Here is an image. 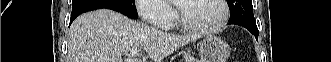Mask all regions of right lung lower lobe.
Here are the masks:
<instances>
[{
	"instance_id": "obj_1",
	"label": "right lung lower lobe",
	"mask_w": 331,
	"mask_h": 62,
	"mask_svg": "<svg viewBox=\"0 0 331 62\" xmlns=\"http://www.w3.org/2000/svg\"><path fill=\"white\" fill-rule=\"evenodd\" d=\"M81 13H77V14H71V19H70V24L73 22V20L79 16Z\"/></svg>"
}]
</instances>
